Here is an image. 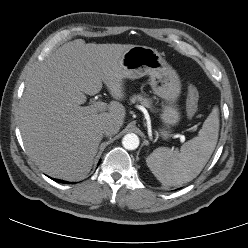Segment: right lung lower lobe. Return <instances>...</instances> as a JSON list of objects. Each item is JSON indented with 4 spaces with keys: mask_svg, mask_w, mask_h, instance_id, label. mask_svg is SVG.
Returning <instances> with one entry per match:
<instances>
[{
    "mask_svg": "<svg viewBox=\"0 0 248 248\" xmlns=\"http://www.w3.org/2000/svg\"><path fill=\"white\" fill-rule=\"evenodd\" d=\"M55 180L56 182H61V183H69V182H66V181H63V180H58V179H53Z\"/></svg>",
    "mask_w": 248,
    "mask_h": 248,
    "instance_id": "right-lung-lower-lobe-1",
    "label": "right lung lower lobe"
}]
</instances>
